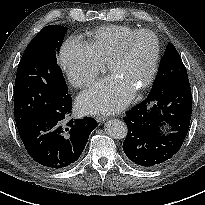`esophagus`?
I'll return each instance as SVG.
<instances>
[{
	"label": "esophagus",
	"mask_w": 205,
	"mask_h": 205,
	"mask_svg": "<svg viewBox=\"0 0 205 205\" xmlns=\"http://www.w3.org/2000/svg\"><path fill=\"white\" fill-rule=\"evenodd\" d=\"M108 117H104V116H96V121L97 122H104L105 120H107Z\"/></svg>",
	"instance_id": "34e87169"
}]
</instances>
